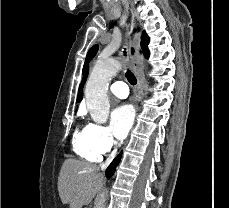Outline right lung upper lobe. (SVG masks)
<instances>
[{
  "mask_svg": "<svg viewBox=\"0 0 229 208\" xmlns=\"http://www.w3.org/2000/svg\"><path fill=\"white\" fill-rule=\"evenodd\" d=\"M87 75H88V68L85 69L83 79H82V82H81L80 87H79V92H78V96H77V102L78 103L82 100V97H83L82 87L84 86V84L86 82Z\"/></svg>",
  "mask_w": 229,
  "mask_h": 208,
  "instance_id": "cb5924a9",
  "label": "right lung upper lobe"
}]
</instances>
